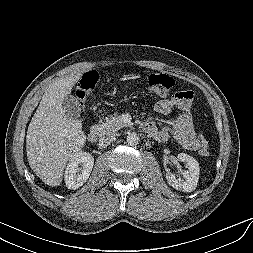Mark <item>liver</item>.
<instances>
[{
    "mask_svg": "<svg viewBox=\"0 0 253 253\" xmlns=\"http://www.w3.org/2000/svg\"><path fill=\"white\" fill-rule=\"evenodd\" d=\"M85 68L52 83L31 119L26 136L29 165L35 174L49 186H59L70 159L86 143L82 123L69 118L62 102L81 79Z\"/></svg>",
    "mask_w": 253,
    "mask_h": 253,
    "instance_id": "obj_1",
    "label": "liver"
}]
</instances>
